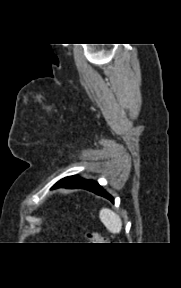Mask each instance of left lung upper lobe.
<instances>
[{"label":"left lung upper lobe","mask_w":181,"mask_h":288,"mask_svg":"<svg viewBox=\"0 0 181 288\" xmlns=\"http://www.w3.org/2000/svg\"><path fill=\"white\" fill-rule=\"evenodd\" d=\"M84 179L77 177V176H69V177H65L63 179H61L60 181H58L57 183H60V185H72V184H76L80 181H82Z\"/></svg>","instance_id":"obj_1"}]
</instances>
